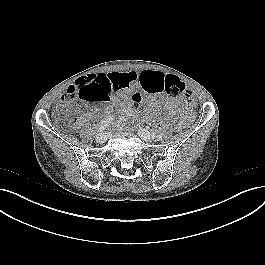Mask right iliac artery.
<instances>
[{
    "label": "right iliac artery",
    "instance_id": "82829eb1",
    "mask_svg": "<svg viewBox=\"0 0 265 265\" xmlns=\"http://www.w3.org/2000/svg\"><path fill=\"white\" fill-rule=\"evenodd\" d=\"M112 121H113V117L111 116L103 120L100 126L98 127V132L104 131Z\"/></svg>",
    "mask_w": 265,
    "mask_h": 265
}]
</instances>
